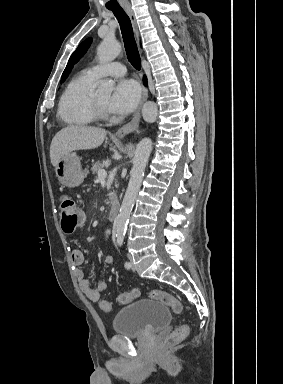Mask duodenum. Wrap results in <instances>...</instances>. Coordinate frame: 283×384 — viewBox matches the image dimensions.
<instances>
[{"mask_svg": "<svg viewBox=\"0 0 283 384\" xmlns=\"http://www.w3.org/2000/svg\"><path fill=\"white\" fill-rule=\"evenodd\" d=\"M119 210H120V203L115 199L108 212V218L110 221L116 220L119 214Z\"/></svg>", "mask_w": 283, "mask_h": 384, "instance_id": "obj_1", "label": "duodenum"}]
</instances>
